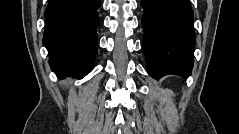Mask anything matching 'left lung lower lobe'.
<instances>
[{"label": "left lung lower lobe", "mask_w": 239, "mask_h": 134, "mask_svg": "<svg viewBox=\"0 0 239 134\" xmlns=\"http://www.w3.org/2000/svg\"><path fill=\"white\" fill-rule=\"evenodd\" d=\"M143 49L147 72L159 79L176 74L191 75L195 32L189 0H142Z\"/></svg>", "instance_id": "1"}]
</instances>
